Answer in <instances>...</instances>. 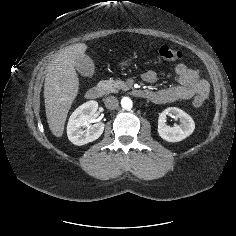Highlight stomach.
Segmentation results:
<instances>
[{
	"instance_id": "1",
	"label": "stomach",
	"mask_w": 236,
	"mask_h": 236,
	"mask_svg": "<svg viewBox=\"0 0 236 236\" xmlns=\"http://www.w3.org/2000/svg\"><path fill=\"white\" fill-rule=\"evenodd\" d=\"M129 65V62L128 61H123L120 63V66H127Z\"/></svg>"
}]
</instances>
